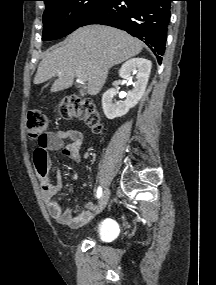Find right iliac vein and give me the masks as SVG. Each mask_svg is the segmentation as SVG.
Returning <instances> with one entry per match:
<instances>
[{
    "label": "right iliac vein",
    "mask_w": 216,
    "mask_h": 285,
    "mask_svg": "<svg viewBox=\"0 0 216 285\" xmlns=\"http://www.w3.org/2000/svg\"><path fill=\"white\" fill-rule=\"evenodd\" d=\"M109 197H110V190L109 188H105L99 202L97 213L101 212L106 207Z\"/></svg>",
    "instance_id": "obj_1"
}]
</instances>
